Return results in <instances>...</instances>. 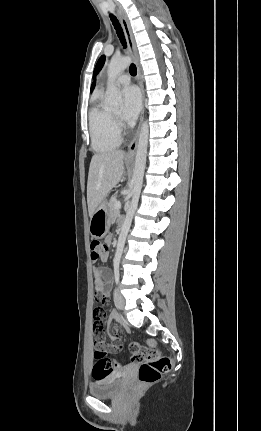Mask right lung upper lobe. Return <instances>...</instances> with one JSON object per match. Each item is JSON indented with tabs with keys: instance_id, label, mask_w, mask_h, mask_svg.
<instances>
[{
	"instance_id": "right-lung-upper-lobe-1",
	"label": "right lung upper lobe",
	"mask_w": 261,
	"mask_h": 431,
	"mask_svg": "<svg viewBox=\"0 0 261 431\" xmlns=\"http://www.w3.org/2000/svg\"><path fill=\"white\" fill-rule=\"evenodd\" d=\"M94 86H95V82L91 86V91L94 89Z\"/></svg>"
}]
</instances>
